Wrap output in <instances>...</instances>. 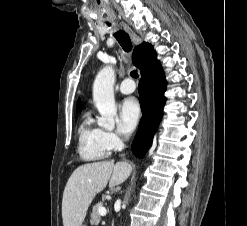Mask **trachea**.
Listing matches in <instances>:
<instances>
[{
    "mask_svg": "<svg viewBox=\"0 0 247 226\" xmlns=\"http://www.w3.org/2000/svg\"><path fill=\"white\" fill-rule=\"evenodd\" d=\"M110 25V24H108ZM115 38L117 39V41L119 42V44L121 45V47L123 48L124 51L129 52L132 49V42L131 39L129 37V35L123 31V30H119L114 34ZM131 77L133 78H138V72L137 70H134L130 73Z\"/></svg>",
    "mask_w": 247,
    "mask_h": 226,
    "instance_id": "trachea-1",
    "label": "trachea"
}]
</instances>
